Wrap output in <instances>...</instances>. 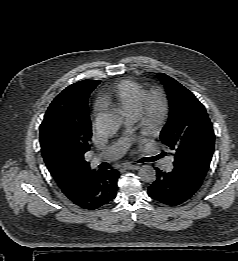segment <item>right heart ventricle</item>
<instances>
[{
	"instance_id": "e07e8e85",
	"label": "right heart ventricle",
	"mask_w": 238,
	"mask_h": 261,
	"mask_svg": "<svg viewBox=\"0 0 238 261\" xmlns=\"http://www.w3.org/2000/svg\"><path fill=\"white\" fill-rule=\"evenodd\" d=\"M144 86L131 79L114 84L102 97L104 103L117 106L128 118H136L140 110Z\"/></svg>"
}]
</instances>
